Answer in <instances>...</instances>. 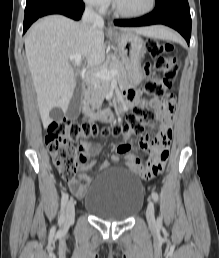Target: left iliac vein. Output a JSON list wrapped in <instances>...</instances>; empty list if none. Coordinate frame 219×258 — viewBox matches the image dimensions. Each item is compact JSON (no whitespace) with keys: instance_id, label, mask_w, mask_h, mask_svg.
Wrapping results in <instances>:
<instances>
[{"instance_id":"1","label":"left iliac vein","mask_w":219,"mask_h":258,"mask_svg":"<svg viewBox=\"0 0 219 258\" xmlns=\"http://www.w3.org/2000/svg\"><path fill=\"white\" fill-rule=\"evenodd\" d=\"M146 218L150 225L155 224L154 204L151 200L148 201V206L146 209Z\"/></svg>"}]
</instances>
